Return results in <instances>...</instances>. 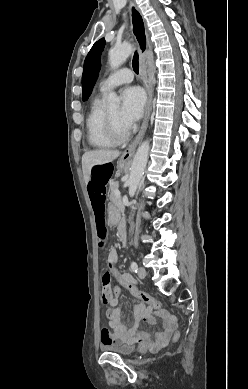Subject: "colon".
<instances>
[{
  "mask_svg": "<svg viewBox=\"0 0 248 389\" xmlns=\"http://www.w3.org/2000/svg\"><path fill=\"white\" fill-rule=\"evenodd\" d=\"M113 167L108 161H103L101 165L94 166L93 171L91 172V179H88V196L94 211L95 218L97 217V234L99 237V244L102 247L104 245L107 231L105 228L104 222V212H105V196L104 192L110 180V177L113 176ZM111 265L110 262H108ZM110 272L114 276V279L117 280L119 285H114L112 287L113 298H122V288H125L126 291H131V294L147 303L150 308L159 309L161 308V302L154 299L149 294L138 289L137 284H133L132 281H129L127 277H121L122 269L117 267L115 264L110 266ZM107 270L102 274L101 283H102V301L106 303L111 298V274ZM107 304V303H106ZM180 337V333H177L175 339Z\"/></svg>",
  "mask_w": 248,
  "mask_h": 389,
  "instance_id": "5ec220e1",
  "label": "colon"
}]
</instances>
